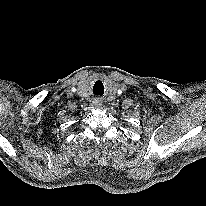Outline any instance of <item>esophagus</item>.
Wrapping results in <instances>:
<instances>
[{"label": "esophagus", "instance_id": "34e87169", "mask_svg": "<svg viewBox=\"0 0 206 206\" xmlns=\"http://www.w3.org/2000/svg\"><path fill=\"white\" fill-rule=\"evenodd\" d=\"M93 104H94L95 107H100V105H101V100L97 98V99H95V100L93 101Z\"/></svg>", "mask_w": 206, "mask_h": 206}]
</instances>
